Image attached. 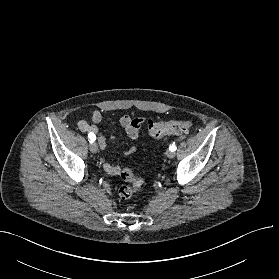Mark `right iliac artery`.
<instances>
[{
	"instance_id": "obj_1",
	"label": "right iliac artery",
	"mask_w": 279,
	"mask_h": 279,
	"mask_svg": "<svg viewBox=\"0 0 279 279\" xmlns=\"http://www.w3.org/2000/svg\"><path fill=\"white\" fill-rule=\"evenodd\" d=\"M88 137H89V139H90V143L94 142L95 139H96V136H95L93 133H89V134H88Z\"/></svg>"
}]
</instances>
